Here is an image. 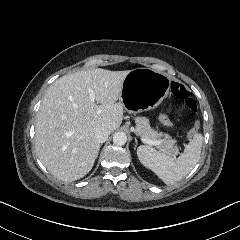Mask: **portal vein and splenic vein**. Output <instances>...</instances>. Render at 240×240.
Instances as JSON below:
<instances>
[{
	"mask_svg": "<svg viewBox=\"0 0 240 240\" xmlns=\"http://www.w3.org/2000/svg\"><path fill=\"white\" fill-rule=\"evenodd\" d=\"M88 95H89V100H90L91 102H94V100H95V93H94V90H93L92 88H89V89H88ZM140 141H141L142 143H145V144H147V145H152V146L159 144L158 141L148 140L147 138H145V137L142 136V135L140 136Z\"/></svg>",
	"mask_w": 240,
	"mask_h": 240,
	"instance_id": "obj_1",
	"label": "portal vein and splenic vein"
}]
</instances>
